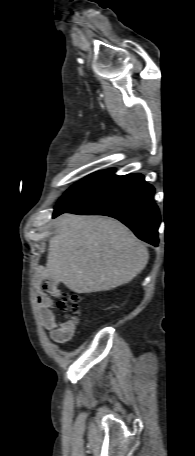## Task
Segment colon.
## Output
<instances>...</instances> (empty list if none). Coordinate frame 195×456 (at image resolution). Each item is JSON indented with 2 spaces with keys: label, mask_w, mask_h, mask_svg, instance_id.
Here are the masks:
<instances>
[{
  "label": "colon",
  "mask_w": 195,
  "mask_h": 456,
  "mask_svg": "<svg viewBox=\"0 0 195 456\" xmlns=\"http://www.w3.org/2000/svg\"><path fill=\"white\" fill-rule=\"evenodd\" d=\"M78 302L79 297L76 294L65 295L63 298L58 302V308L64 312H78Z\"/></svg>",
  "instance_id": "5ec220e1"
}]
</instances>
